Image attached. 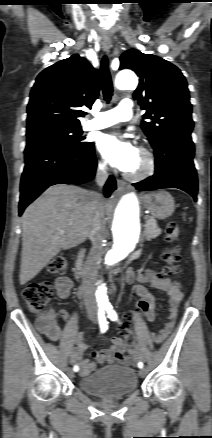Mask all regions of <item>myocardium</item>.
<instances>
[{
  "mask_svg": "<svg viewBox=\"0 0 212 438\" xmlns=\"http://www.w3.org/2000/svg\"><path fill=\"white\" fill-rule=\"evenodd\" d=\"M138 155L143 159L144 166L138 171H126L125 176L134 181H142L154 175L157 170V161L152 152L146 148H140Z\"/></svg>",
  "mask_w": 212,
  "mask_h": 438,
  "instance_id": "f54148a6",
  "label": "myocardium"
}]
</instances>
